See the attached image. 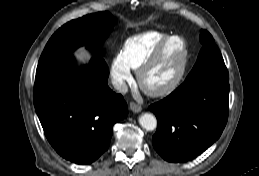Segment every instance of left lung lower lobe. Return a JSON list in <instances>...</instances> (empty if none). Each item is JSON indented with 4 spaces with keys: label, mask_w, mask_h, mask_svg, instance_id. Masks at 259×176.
I'll list each match as a JSON object with an SVG mask.
<instances>
[{
    "label": "left lung lower lobe",
    "mask_w": 259,
    "mask_h": 176,
    "mask_svg": "<svg viewBox=\"0 0 259 176\" xmlns=\"http://www.w3.org/2000/svg\"><path fill=\"white\" fill-rule=\"evenodd\" d=\"M229 77L206 74L184 81L149 107L157 118L153 146L169 162H186L209 148L228 119Z\"/></svg>",
    "instance_id": "left-lung-lower-lobe-1"
}]
</instances>
